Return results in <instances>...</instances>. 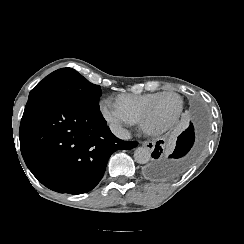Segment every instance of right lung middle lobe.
<instances>
[{
	"instance_id": "dd1d6c3e",
	"label": "right lung middle lobe",
	"mask_w": 244,
	"mask_h": 244,
	"mask_svg": "<svg viewBox=\"0 0 244 244\" xmlns=\"http://www.w3.org/2000/svg\"><path fill=\"white\" fill-rule=\"evenodd\" d=\"M99 85L90 83L72 68H62L46 76L30 92L28 100L52 98L88 109H99Z\"/></svg>"
}]
</instances>
